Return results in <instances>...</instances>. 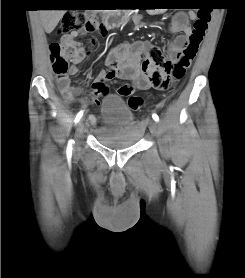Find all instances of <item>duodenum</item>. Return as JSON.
Instances as JSON below:
<instances>
[{
	"mask_svg": "<svg viewBox=\"0 0 245 278\" xmlns=\"http://www.w3.org/2000/svg\"><path fill=\"white\" fill-rule=\"evenodd\" d=\"M135 19V16L132 15L131 12H128L126 14H108L101 18L100 25L104 26L105 28H112L114 26H119L121 24L127 23L129 21H132ZM82 92H73L71 94L72 97L80 95Z\"/></svg>",
	"mask_w": 245,
	"mask_h": 278,
	"instance_id": "obj_1",
	"label": "duodenum"
}]
</instances>
